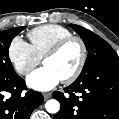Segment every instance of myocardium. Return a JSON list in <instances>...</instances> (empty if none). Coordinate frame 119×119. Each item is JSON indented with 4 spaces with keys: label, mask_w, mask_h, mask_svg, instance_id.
I'll list each match as a JSON object with an SVG mask.
<instances>
[{
    "label": "myocardium",
    "mask_w": 119,
    "mask_h": 119,
    "mask_svg": "<svg viewBox=\"0 0 119 119\" xmlns=\"http://www.w3.org/2000/svg\"><path fill=\"white\" fill-rule=\"evenodd\" d=\"M72 42H77L79 44L81 48V58L76 69L70 75L62 79L64 83H71L75 81L80 76V74L82 73L85 67L88 58V49L84 40L79 36H75V35L67 37L59 41L57 44H55L43 57V62H44L47 58L58 55L67 45H69Z\"/></svg>",
    "instance_id": "obj_1"
}]
</instances>
